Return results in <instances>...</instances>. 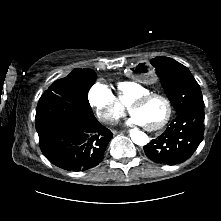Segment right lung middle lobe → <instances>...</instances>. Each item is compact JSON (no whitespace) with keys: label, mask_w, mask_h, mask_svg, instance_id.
Masks as SVG:
<instances>
[{"label":"right lung middle lobe","mask_w":221,"mask_h":221,"mask_svg":"<svg viewBox=\"0 0 221 221\" xmlns=\"http://www.w3.org/2000/svg\"><path fill=\"white\" fill-rule=\"evenodd\" d=\"M95 79L93 70H84L55 81L44 92L36 109L35 126L39 137L68 122L88 124L96 120L87 98Z\"/></svg>","instance_id":"dd1d6c3e"}]
</instances>
